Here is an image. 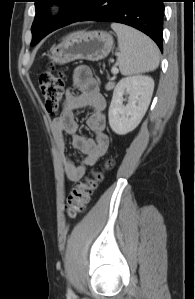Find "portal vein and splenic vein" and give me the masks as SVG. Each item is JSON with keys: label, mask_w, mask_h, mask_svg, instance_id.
<instances>
[{"label": "portal vein and splenic vein", "mask_w": 195, "mask_h": 299, "mask_svg": "<svg viewBox=\"0 0 195 299\" xmlns=\"http://www.w3.org/2000/svg\"><path fill=\"white\" fill-rule=\"evenodd\" d=\"M111 72H112L113 74H117V73L119 72V70H118L117 67L114 66V67H112Z\"/></svg>", "instance_id": "1"}]
</instances>
